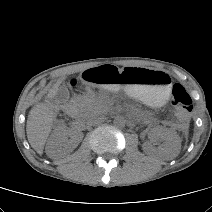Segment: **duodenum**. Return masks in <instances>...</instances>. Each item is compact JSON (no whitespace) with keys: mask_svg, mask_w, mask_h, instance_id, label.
<instances>
[{"mask_svg":"<svg viewBox=\"0 0 212 212\" xmlns=\"http://www.w3.org/2000/svg\"><path fill=\"white\" fill-rule=\"evenodd\" d=\"M63 111L67 116L72 117L75 114V109H74V106L72 104H66L63 108Z\"/></svg>","mask_w":212,"mask_h":212,"instance_id":"duodenum-1","label":"duodenum"}]
</instances>
